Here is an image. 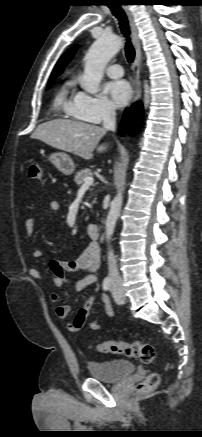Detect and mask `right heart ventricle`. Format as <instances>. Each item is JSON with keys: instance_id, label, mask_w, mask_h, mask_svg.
I'll list each match as a JSON object with an SVG mask.
<instances>
[{"instance_id": "1", "label": "right heart ventricle", "mask_w": 202, "mask_h": 437, "mask_svg": "<svg viewBox=\"0 0 202 437\" xmlns=\"http://www.w3.org/2000/svg\"><path fill=\"white\" fill-rule=\"evenodd\" d=\"M71 82L64 83L54 99V106L57 109H62L68 115L76 117L73 114V99L70 97Z\"/></svg>"}]
</instances>
